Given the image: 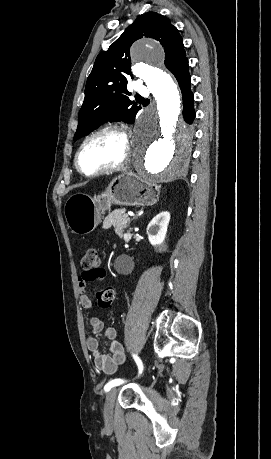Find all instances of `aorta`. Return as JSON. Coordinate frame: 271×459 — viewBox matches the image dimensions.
Segmentation results:
<instances>
[{
    "mask_svg": "<svg viewBox=\"0 0 271 459\" xmlns=\"http://www.w3.org/2000/svg\"><path fill=\"white\" fill-rule=\"evenodd\" d=\"M137 61L135 74L154 97L135 130L132 164L148 181H169L187 167L192 151V132L181 119L178 87L163 70L164 51L152 39H140L131 48Z\"/></svg>",
    "mask_w": 271,
    "mask_h": 459,
    "instance_id": "1",
    "label": "aorta"
}]
</instances>
